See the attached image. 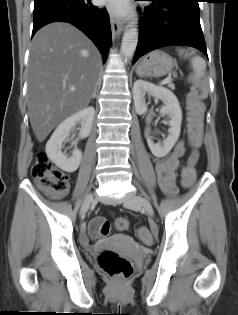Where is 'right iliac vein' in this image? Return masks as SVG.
Listing matches in <instances>:
<instances>
[{
    "instance_id": "63e3f726",
    "label": "right iliac vein",
    "mask_w": 238,
    "mask_h": 315,
    "mask_svg": "<svg viewBox=\"0 0 238 315\" xmlns=\"http://www.w3.org/2000/svg\"><path fill=\"white\" fill-rule=\"evenodd\" d=\"M93 202H94V196H93V194L90 193V194H88V195L85 197V200H84V202H83V204H82V207H81V210H80V214H81V215H84V214L88 211L90 205H91Z\"/></svg>"
}]
</instances>
